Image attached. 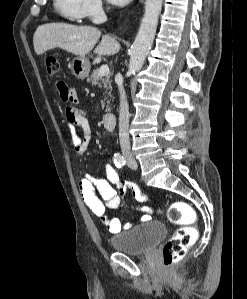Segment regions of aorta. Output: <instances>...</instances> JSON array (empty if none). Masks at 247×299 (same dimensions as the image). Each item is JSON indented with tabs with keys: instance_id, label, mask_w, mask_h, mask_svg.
I'll list each match as a JSON object with an SVG mask.
<instances>
[{
	"instance_id": "1",
	"label": "aorta",
	"mask_w": 247,
	"mask_h": 299,
	"mask_svg": "<svg viewBox=\"0 0 247 299\" xmlns=\"http://www.w3.org/2000/svg\"><path fill=\"white\" fill-rule=\"evenodd\" d=\"M163 0H146L145 13L136 39L131 46L129 73L141 70L153 44Z\"/></svg>"
}]
</instances>
